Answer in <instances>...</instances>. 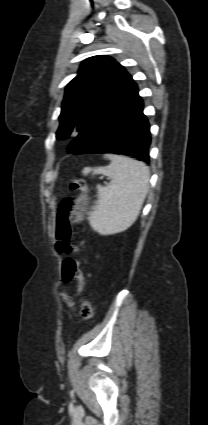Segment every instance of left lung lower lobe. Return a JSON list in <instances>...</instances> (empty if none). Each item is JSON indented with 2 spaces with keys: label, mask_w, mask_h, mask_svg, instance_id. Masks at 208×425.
<instances>
[{
  "label": "left lung lower lobe",
  "mask_w": 208,
  "mask_h": 425,
  "mask_svg": "<svg viewBox=\"0 0 208 425\" xmlns=\"http://www.w3.org/2000/svg\"><path fill=\"white\" fill-rule=\"evenodd\" d=\"M80 154L114 153L149 162L150 126L132 82L78 134Z\"/></svg>",
  "instance_id": "0a47b994"
}]
</instances>
